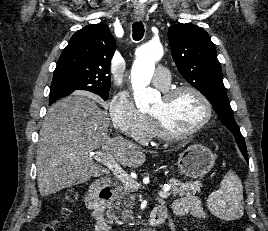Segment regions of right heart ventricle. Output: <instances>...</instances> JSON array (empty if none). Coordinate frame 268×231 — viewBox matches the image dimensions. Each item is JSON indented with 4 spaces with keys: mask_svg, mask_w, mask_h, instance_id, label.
<instances>
[{
    "mask_svg": "<svg viewBox=\"0 0 268 231\" xmlns=\"http://www.w3.org/2000/svg\"><path fill=\"white\" fill-rule=\"evenodd\" d=\"M151 131H152L151 139L154 137H161L156 125L154 124V122L152 120H151Z\"/></svg>",
    "mask_w": 268,
    "mask_h": 231,
    "instance_id": "obj_1",
    "label": "right heart ventricle"
}]
</instances>
